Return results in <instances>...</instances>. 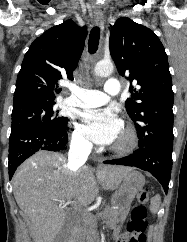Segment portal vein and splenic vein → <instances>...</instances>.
<instances>
[{"mask_svg": "<svg viewBox=\"0 0 187 242\" xmlns=\"http://www.w3.org/2000/svg\"><path fill=\"white\" fill-rule=\"evenodd\" d=\"M68 203H75V204H76L77 202H74V201H72V202H67V203H65V202H60V206L64 208V207H66V205H67ZM83 214H84V213H83ZM100 214H101V213H100Z\"/></svg>", "mask_w": 187, "mask_h": 242, "instance_id": "1", "label": "portal vein and splenic vein"}]
</instances>
